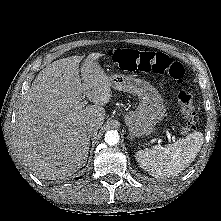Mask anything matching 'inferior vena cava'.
<instances>
[{
    "label": "inferior vena cava",
    "instance_id": "obj_1",
    "mask_svg": "<svg viewBox=\"0 0 221 221\" xmlns=\"http://www.w3.org/2000/svg\"><path fill=\"white\" fill-rule=\"evenodd\" d=\"M99 126L96 123H90L87 126V132L89 134V136H92L93 134H95L98 130Z\"/></svg>",
    "mask_w": 221,
    "mask_h": 221
}]
</instances>
